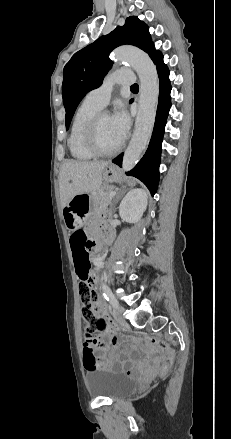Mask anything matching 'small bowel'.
Returning <instances> with one entry per match:
<instances>
[{"mask_svg":"<svg viewBox=\"0 0 231 439\" xmlns=\"http://www.w3.org/2000/svg\"><path fill=\"white\" fill-rule=\"evenodd\" d=\"M76 234H82L85 235L83 231L76 230L74 234L72 235L70 239V245L72 250V255L74 259V263L76 265V268L78 267L79 263H88V251L92 248V244L94 242L88 241L89 244L86 243V241L81 242L80 248H79V255L76 254V246L73 239V236ZM108 237H112V233L108 232L105 234ZM86 236V235H85ZM87 240V238H86ZM95 314L101 318H105L109 320V314L105 307V304L102 300H100L96 307H95ZM119 343V339L114 335H108L106 338L103 336L96 337L94 339H87L85 343L83 344V351L84 354L88 351H91L93 353L100 351L101 353H111L112 346H116ZM112 368H119L120 364L117 361H113L109 364ZM150 367V366H147ZM145 369V366H140L137 369H127L128 374H135L139 375L141 374Z\"/></svg>","mask_w":231,"mask_h":439,"instance_id":"obj_1","label":"small bowel"}]
</instances>
